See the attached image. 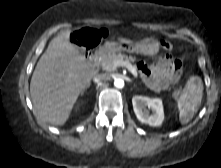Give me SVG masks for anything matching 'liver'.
Returning <instances> with one entry per match:
<instances>
[{
	"label": "liver",
	"mask_w": 221,
	"mask_h": 168,
	"mask_svg": "<svg viewBox=\"0 0 221 168\" xmlns=\"http://www.w3.org/2000/svg\"><path fill=\"white\" fill-rule=\"evenodd\" d=\"M70 31L53 38L40 57L30 82L33 106L40 118L64 125L80 94L90 86L96 72L69 41ZM121 43L131 40L118 38Z\"/></svg>",
	"instance_id": "obj_1"
}]
</instances>
